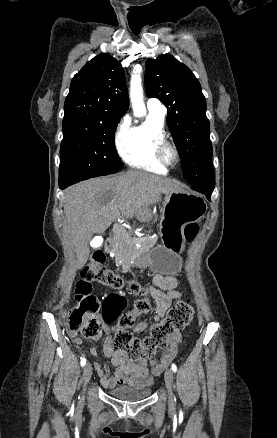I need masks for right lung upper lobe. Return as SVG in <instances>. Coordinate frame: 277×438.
<instances>
[{"label": "right lung upper lobe", "mask_w": 277, "mask_h": 438, "mask_svg": "<svg viewBox=\"0 0 277 438\" xmlns=\"http://www.w3.org/2000/svg\"><path fill=\"white\" fill-rule=\"evenodd\" d=\"M128 107L129 97L121 64L110 55L101 54L87 62L72 79L63 119L119 122Z\"/></svg>", "instance_id": "obj_1"}]
</instances>
